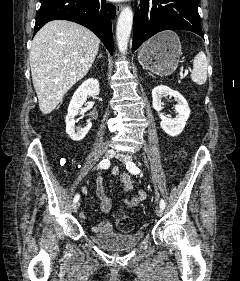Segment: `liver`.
Returning a JSON list of instances; mask_svg holds the SVG:
<instances>
[{
  "mask_svg": "<svg viewBox=\"0 0 240 281\" xmlns=\"http://www.w3.org/2000/svg\"><path fill=\"white\" fill-rule=\"evenodd\" d=\"M100 40L87 28L66 20H53L35 35L29 55L39 108L51 113L68 90L90 70Z\"/></svg>",
  "mask_w": 240,
  "mask_h": 281,
  "instance_id": "liver-1",
  "label": "liver"
}]
</instances>
